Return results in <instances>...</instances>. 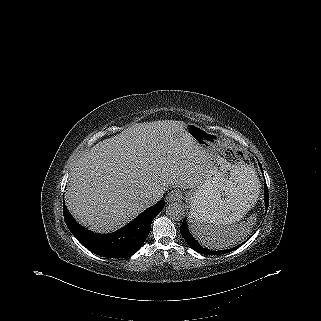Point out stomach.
<instances>
[{
  "instance_id": "1",
  "label": "stomach",
  "mask_w": 321,
  "mask_h": 321,
  "mask_svg": "<svg viewBox=\"0 0 321 321\" xmlns=\"http://www.w3.org/2000/svg\"><path fill=\"white\" fill-rule=\"evenodd\" d=\"M186 131L206 152L207 172L188 195L189 220L233 224L255 205L260 183L246 155L225 147L219 136L196 124Z\"/></svg>"
}]
</instances>
